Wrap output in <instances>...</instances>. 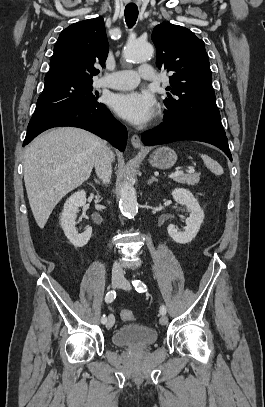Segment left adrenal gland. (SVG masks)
Masks as SVG:
<instances>
[{
	"label": "left adrenal gland",
	"instance_id": "left-adrenal-gland-1",
	"mask_svg": "<svg viewBox=\"0 0 265 407\" xmlns=\"http://www.w3.org/2000/svg\"><path fill=\"white\" fill-rule=\"evenodd\" d=\"M157 182V178L155 176H151V179L148 180V184H152V182Z\"/></svg>",
	"mask_w": 265,
	"mask_h": 407
}]
</instances>
